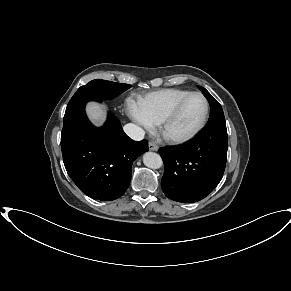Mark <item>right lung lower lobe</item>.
Listing matches in <instances>:
<instances>
[{
  "mask_svg": "<svg viewBox=\"0 0 291 291\" xmlns=\"http://www.w3.org/2000/svg\"><path fill=\"white\" fill-rule=\"evenodd\" d=\"M61 149L68 175L87 196L111 201L122 196L131 180L133 161L148 151V142L130 139L112 114L96 128L85 112L64 120Z\"/></svg>",
  "mask_w": 291,
  "mask_h": 291,
  "instance_id": "98d812e1",
  "label": "right lung lower lobe"
}]
</instances>
